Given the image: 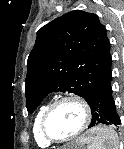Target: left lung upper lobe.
<instances>
[{
  "label": "left lung upper lobe",
  "mask_w": 124,
  "mask_h": 149,
  "mask_svg": "<svg viewBox=\"0 0 124 149\" xmlns=\"http://www.w3.org/2000/svg\"><path fill=\"white\" fill-rule=\"evenodd\" d=\"M110 42L95 14L81 10L58 17L37 32L25 80L29 113L52 91L85 98L111 75Z\"/></svg>",
  "instance_id": "1"
}]
</instances>
